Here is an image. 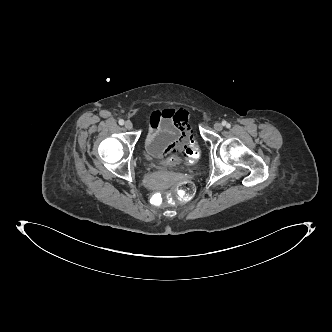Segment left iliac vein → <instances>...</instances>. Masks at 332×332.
<instances>
[{"label": "left iliac vein", "instance_id": "obj_1", "mask_svg": "<svg viewBox=\"0 0 332 332\" xmlns=\"http://www.w3.org/2000/svg\"><path fill=\"white\" fill-rule=\"evenodd\" d=\"M214 129H215L216 131H221V130L223 129V125H222L220 122H216V123L214 124Z\"/></svg>", "mask_w": 332, "mask_h": 332}]
</instances>
